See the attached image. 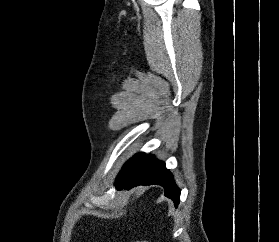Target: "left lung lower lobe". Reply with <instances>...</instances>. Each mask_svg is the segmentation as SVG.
I'll return each mask as SVG.
<instances>
[{
  "instance_id": "obj_1",
  "label": "left lung lower lobe",
  "mask_w": 279,
  "mask_h": 242,
  "mask_svg": "<svg viewBox=\"0 0 279 242\" xmlns=\"http://www.w3.org/2000/svg\"><path fill=\"white\" fill-rule=\"evenodd\" d=\"M158 184L164 187L165 196L173 200L177 206L180 201V190L175 185L172 174L166 169L164 162L152 155H145L134 164L126 174L116 181L118 189H131L138 185Z\"/></svg>"
}]
</instances>
